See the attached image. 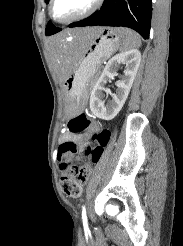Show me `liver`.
<instances>
[{"label":"liver","instance_id":"6515ba94","mask_svg":"<svg viewBox=\"0 0 183 246\" xmlns=\"http://www.w3.org/2000/svg\"><path fill=\"white\" fill-rule=\"evenodd\" d=\"M101 28H82L66 30L49 41V53L55 64V69L60 82H65L73 71L75 62V50L68 49L64 44L67 35H73L79 40H91Z\"/></svg>","mask_w":183,"mask_h":246}]
</instances>
